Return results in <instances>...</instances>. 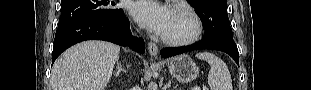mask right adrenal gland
Returning a JSON list of instances; mask_svg holds the SVG:
<instances>
[{
	"label": "right adrenal gland",
	"mask_w": 311,
	"mask_h": 90,
	"mask_svg": "<svg viewBox=\"0 0 311 90\" xmlns=\"http://www.w3.org/2000/svg\"><path fill=\"white\" fill-rule=\"evenodd\" d=\"M121 72H125L126 70L124 68H122L121 64L119 63V61L117 60V71H116V75L119 76Z\"/></svg>",
	"instance_id": "obj_1"
}]
</instances>
